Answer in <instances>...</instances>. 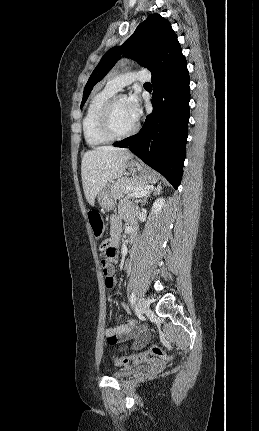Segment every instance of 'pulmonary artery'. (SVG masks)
Here are the masks:
<instances>
[{"mask_svg": "<svg viewBox=\"0 0 259 431\" xmlns=\"http://www.w3.org/2000/svg\"><path fill=\"white\" fill-rule=\"evenodd\" d=\"M150 80V74L146 70H140L136 72H130L120 75H115L109 78L107 87L114 91H119L124 86L134 82H148Z\"/></svg>", "mask_w": 259, "mask_h": 431, "instance_id": "1", "label": "pulmonary artery"}]
</instances>
